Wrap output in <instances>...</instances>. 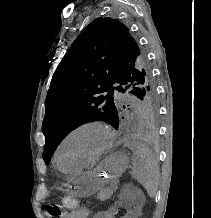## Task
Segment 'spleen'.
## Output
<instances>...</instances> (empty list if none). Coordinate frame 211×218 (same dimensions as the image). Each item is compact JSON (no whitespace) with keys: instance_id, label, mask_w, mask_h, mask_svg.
I'll list each match as a JSON object with an SVG mask.
<instances>
[{"instance_id":"obj_1","label":"spleen","mask_w":211,"mask_h":218,"mask_svg":"<svg viewBox=\"0 0 211 218\" xmlns=\"http://www.w3.org/2000/svg\"><path fill=\"white\" fill-rule=\"evenodd\" d=\"M132 166V178L145 188L150 198H154L159 186V168L151 150H144V148L135 150Z\"/></svg>"}]
</instances>
